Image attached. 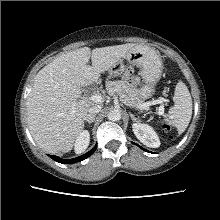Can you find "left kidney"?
<instances>
[{
    "mask_svg": "<svg viewBox=\"0 0 220 220\" xmlns=\"http://www.w3.org/2000/svg\"><path fill=\"white\" fill-rule=\"evenodd\" d=\"M132 128L137 139L147 147L158 148L160 146L159 138L151 126L134 123Z\"/></svg>",
    "mask_w": 220,
    "mask_h": 220,
    "instance_id": "left-kidney-1",
    "label": "left kidney"
}]
</instances>
